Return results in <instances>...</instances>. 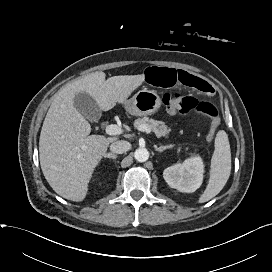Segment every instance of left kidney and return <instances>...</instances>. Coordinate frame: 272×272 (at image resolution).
<instances>
[{
    "label": "left kidney",
    "instance_id": "1",
    "mask_svg": "<svg viewBox=\"0 0 272 272\" xmlns=\"http://www.w3.org/2000/svg\"><path fill=\"white\" fill-rule=\"evenodd\" d=\"M204 164L200 156L186 159L166 168L163 177L167 184L180 192L192 193L203 181Z\"/></svg>",
    "mask_w": 272,
    "mask_h": 272
}]
</instances>
